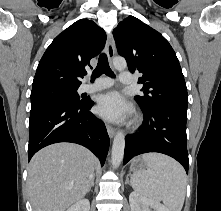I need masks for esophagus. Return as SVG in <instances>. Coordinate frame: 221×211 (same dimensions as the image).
<instances>
[{"instance_id":"esophagus-1","label":"esophagus","mask_w":221,"mask_h":211,"mask_svg":"<svg viewBox=\"0 0 221 211\" xmlns=\"http://www.w3.org/2000/svg\"><path fill=\"white\" fill-rule=\"evenodd\" d=\"M106 53H107L109 61L111 62L115 54V45H114V40H113L112 35H109L107 38ZM106 129H107L109 137L113 138L116 133L115 128L109 124H106Z\"/></svg>"}]
</instances>
